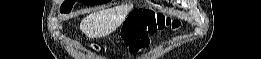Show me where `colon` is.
I'll return each instance as SVG.
<instances>
[{
	"label": "colon",
	"mask_w": 261,
	"mask_h": 59,
	"mask_svg": "<svg viewBox=\"0 0 261 59\" xmlns=\"http://www.w3.org/2000/svg\"><path fill=\"white\" fill-rule=\"evenodd\" d=\"M166 24L176 27V23L167 22L163 17L152 12L141 13L134 21L127 34V40L133 52L144 50L149 45V36L162 29Z\"/></svg>",
	"instance_id": "5ec220e1"
}]
</instances>
